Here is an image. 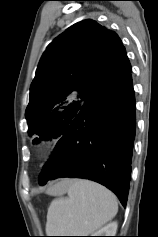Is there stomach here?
Listing matches in <instances>:
<instances>
[{"label": "stomach", "mask_w": 158, "mask_h": 237, "mask_svg": "<svg viewBox=\"0 0 158 237\" xmlns=\"http://www.w3.org/2000/svg\"><path fill=\"white\" fill-rule=\"evenodd\" d=\"M63 181H69V180H63ZM63 181H62V182H63ZM60 183H61V182H60ZM68 185H69V184H64V187H63V191H64V192L66 191Z\"/></svg>", "instance_id": "1"}]
</instances>
